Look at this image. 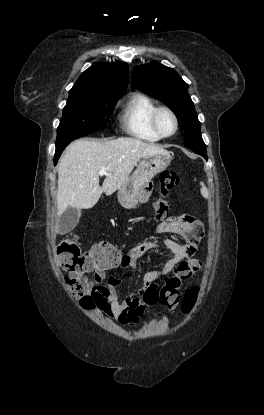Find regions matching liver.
Returning <instances> with one entry per match:
<instances>
[{"label":"liver","instance_id":"1","mask_svg":"<svg viewBox=\"0 0 264 415\" xmlns=\"http://www.w3.org/2000/svg\"><path fill=\"white\" fill-rule=\"evenodd\" d=\"M158 154L169 153L157 145L129 137L72 142L59 161L58 217L67 208H92L102 193L109 196L127 181L140 159ZM102 168H106L109 175H106L101 187L99 171Z\"/></svg>","mask_w":264,"mask_h":415}]
</instances>
